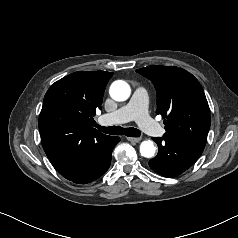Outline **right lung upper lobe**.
Masks as SVG:
<instances>
[{"instance_id": "1", "label": "right lung upper lobe", "mask_w": 238, "mask_h": 238, "mask_svg": "<svg viewBox=\"0 0 238 238\" xmlns=\"http://www.w3.org/2000/svg\"><path fill=\"white\" fill-rule=\"evenodd\" d=\"M112 72L79 71L58 81L44 97L38 126L43 149L58 171L80 162L107 135L92 126Z\"/></svg>"}]
</instances>
